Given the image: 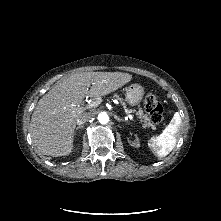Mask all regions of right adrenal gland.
<instances>
[{"instance_id": "2a0ac1e0", "label": "right adrenal gland", "mask_w": 221, "mask_h": 221, "mask_svg": "<svg viewBox=\"0 0 221 221\" xmlns=\"http://www.w3.org/2000/svg\"><path fill=\"white\" fill-rule=\"evenodd\" d=\"M80 128H82V126H78V127H76V130H78V129H80Z\"/></svg>"}]
</instances>
